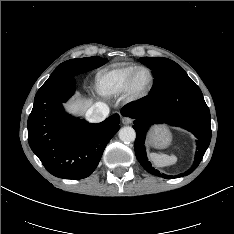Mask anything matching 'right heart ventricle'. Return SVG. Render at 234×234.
<instances>
[{
	"instance_id": "e07e8e85",
	"label": "right heart ventricle",
	"mask_w": 234,
	"mask_h": 234,
	"mask_svg": "<svg viewBox=\"0 0 234 234\" xmlns=\"http://www.w3.org/2000/svg\"><path fill=\"white\" fill-rule=\"evenodd\" d=\"M137 67L135 64H115L101 70L96 76L99 93L107 97L121 94L129 76Z\"/></svg>"
}]
</instances>
